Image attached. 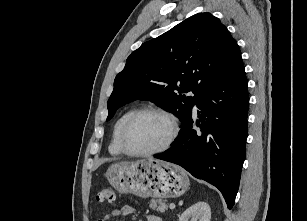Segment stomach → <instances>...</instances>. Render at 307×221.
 <instances>
[{"instance_id":"0dacf381","label":"stomach","mask_w":307,"mask_h":221,"mask_svg":"<svg viewBox=\"0 0 307 221\" xmlns=\"http://www.w3.org/2000/svg\"><path fill=\"white\" fill-rule=\"evenodd\" d=\"M106 177L120 193L146 198L179 197L189 187V179L179 166L153 159L112 164Z\"/></svg>"}]
</instances>
